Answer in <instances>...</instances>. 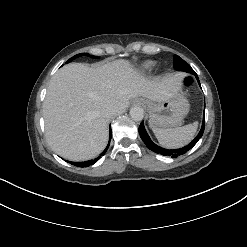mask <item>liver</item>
Here are the masks:
<instances>
[{"label": "liver", "mask_w": 247, "mask_h": 247, "mask_svg": "<svg viewBox=\"0 0 247 247\" xmlns=\"http://www.w3.org/2000/svg\"><path fill=\"white\" fill-rule=\"evenodd\" d=\"M180 88L179 75L147 79L126 60L94 67L68 64L50 80L43 103L47 141L63 158L92 159L108 142L105 109L122 113L133 98L162 101Z\"/></svg>", "instance_id": "1"}]
</instances>
